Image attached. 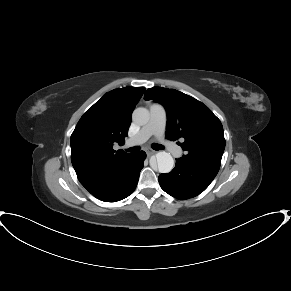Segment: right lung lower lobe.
<instances>
[{"instance_id":"1","label":"right lung lower lobe","mask_w":291,"mask_h":291,"mask_svg":"<svg viewBox=\"0 0 291 291\" xmlns=\"http://www.w3.org/2000/svg\"><path fill=\"white\" fill-rule=\"evenodd\" d=\"M145 158L146 153L140 151L111 166L82 173L77 177L97 199L116 202L128 197L135 190Z\"/></svg>"}]
</instances>
